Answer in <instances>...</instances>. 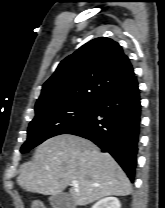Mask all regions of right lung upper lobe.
<instances>
[{
  "mask_svg": "<svg viewBox=\"0 0 165 208\" xmlns=\"http://www.w3.org/2000/svg\"><path fill=\"white\" fill-rule=\"evenodd\" d=\"M134 76L129 58L112 39L89 41L65 58L44 83L35 110L69 102H97Z\"/></svg>",
  "mask_w": 165,
  "mask_h": 208,
  "instance_id": "1",
  "label": "right lung upper lobe"
}]
</instances>
